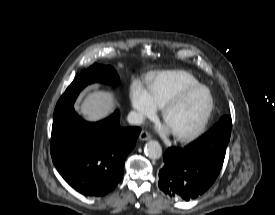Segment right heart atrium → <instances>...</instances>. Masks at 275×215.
<instances>
[{
  "label": "right heart atrium",
  "instance_id": "right-heart-atrium-1",
  "mask_svg": "<svg viewBox=\"0 0 275 215\" xmlns=\"http://www.w3.org/2000/svg\"><path fill=\"white\" fill-rule=\"evenodd\" d=\"M130 97L137 120L143 121L146 118L155 116L157 106L152 101L148 90L141 84L133 83Z\"/></svg>",
  "mask_w": 275,
  "mask_h": 215
}]
</instances>
